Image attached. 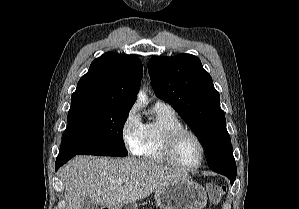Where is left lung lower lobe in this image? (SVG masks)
Wrapping results in <instances>:
<instances>
[{"mask_svg": "<svg viewBox=\"0 0 299 209\" xmlns=\"http://www.w3.org/2000/svg\"><path fill=\"white\" fill-rule=\"evenodd\" d=\"M213 171L225 175L230 179V183L233 184L236 179V164L235 159L233 157V153L231 152L226 157H224L221 162L214 167H212Z\"/></svg>", "mask_w": 299, "mask_h": 209, "instance_id": "left-lung-lower-lobe-1", "label": "left lung lower lobe"}]
</instances>
